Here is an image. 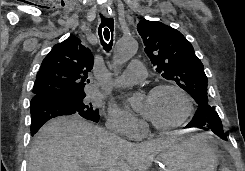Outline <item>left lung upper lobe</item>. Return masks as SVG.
I'll return each mask as SVG.
<instances>
[{
  "instance_id": "left-lung-upper-lobe-1",
  "label": "left lung upper lobe",
  "mask_w": 245,
  "mask_h": 171,
  "mask_svg": "<svg viewBox=\"0 0 245 171\" xmlns=\"http://www.w3.org/2000/svg\"><path fill=\"white\" fill-rule=\"evenodd\" d=\"M137 30L156 71L165 79L175 81L199 107L209 105L208 79L192 44L178 30L161 22L141 20Z\"/></svg>"
}]
</instances>
